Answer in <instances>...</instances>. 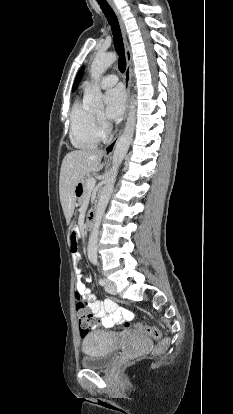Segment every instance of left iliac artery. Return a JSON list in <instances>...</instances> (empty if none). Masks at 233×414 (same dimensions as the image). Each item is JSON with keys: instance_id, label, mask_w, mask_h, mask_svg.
Segmentation results:
<instances>
[{"instance_id": "1", "label": "left iliac artery", "mask_w": 233, "mask_h": 414, "mask_svg": "<svg viewBox=\"0 0 233 414\" xmlns=\"http://www.w3.org/2000/svg\"><path fill=\"white\" fill-rule=\"evenodd\" d=\"M95 264H96V263H95ZM98 282H99V284H100V285H102V286H103V285H105V280H104V279H102V278H100Z\"/></svg>"}]
</instances>
